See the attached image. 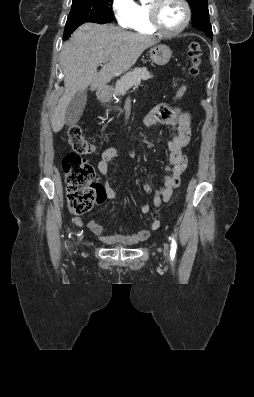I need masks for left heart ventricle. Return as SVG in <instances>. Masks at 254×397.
<instances>
[{"mask_svg":"<svg viewBox=\"0 0 254 397\" xmlns=\"http://www.w3.org/2000/svg\"><path fill=\"white\" fill-rule=\"evenodd\" d=\"M184 8L177 0H165L159 10V21L166 30H175L183 22Z\"/></svg>","mask_w":254,"mask_h":397,"instance_id":"1","label":"left heart ventricle"}]
</instances>
